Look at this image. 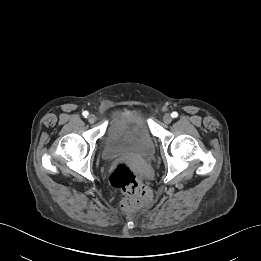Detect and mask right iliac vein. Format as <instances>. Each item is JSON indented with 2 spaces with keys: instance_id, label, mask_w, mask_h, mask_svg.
Here are the masks:
<instances>
[{
  "instance_id": "obj_1",
  "label": "right iliac vein",
  "mask_w": 261,
  "mask_h": 261,
  "mask_svg": "<svg viewBox=\"0 0 261 261\" xmlns=\"http://www.w3.org/2000/svg\"><path fill=\"white\" fill-rule=\"evenodd\" d=\"M95 121H96V116H95L94 114H90V115L88 116V122H89L90 124H93V123H95Z\"/></svg>"
}]
</instances>
